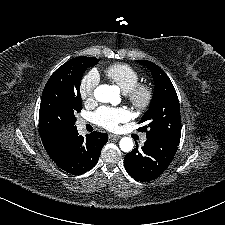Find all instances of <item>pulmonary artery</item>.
<instances>
[{"label":"pulmonary artery","instance_id":"1","mask_svg":"<svg viewBox=\"0 0 225 225\" xmlns=\"http://www.w3.org/2000/svg\"><path fill=\"white\" fill-rule=\"evenodd\" d=\"M78 125H79V127H83L85 125V121H83V120L79 121ZM144 140L145 139H143V141Z\"/></svg>","mask_w":225,"mask_h":225}]
</instances>
